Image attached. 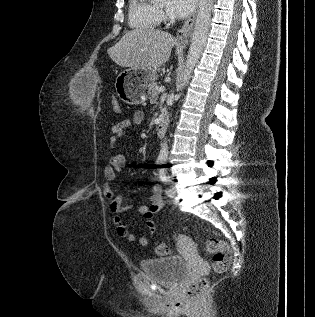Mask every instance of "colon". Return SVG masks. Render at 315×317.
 Masks as SVG:
<instances>
[{"label":"colon","mask_w":315,"mask_h":317,"mask_svg":"<svg viewBox=\"0 0 315 317\" xmlns=\"http://www.w3.org/2000/svg\"><path fill=\"white\" fill-rule=\"evenodd\" d=\"M114 108L119 111L120 105L114 101ZM156 251L160 255L170 253L169 244L162 242L156 247ZM206 251L212 255V268L216 273L225 272L230 264L231 250L226 242L218 238H210L206 243ZM208 287V280L200 278L193 281L187 288L186 295L189 300H197L205 292Z\"/></svg>","instance_id":"obj_1"}]
</instances>
